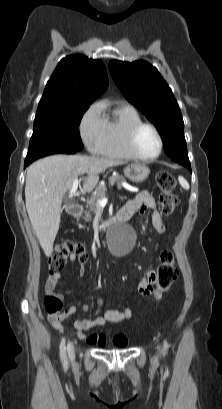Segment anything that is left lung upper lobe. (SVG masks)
<instances>
[{"label":"left lung upper lobe","instance_id":"1","mask_svg":"<svg viewBox=\"0 0 222 409\" xmlns=\"http://www.w3.org/2000/svg\"><path fill=\"white\" fill-rule=\"evenodd\" d=\"M109 70L126 99L156 126L165 153L175 162L189 161L179 105L158 70L143 60H113Z\"/></svg>","mask_w":222,"mask_h":409}]
</instances>
